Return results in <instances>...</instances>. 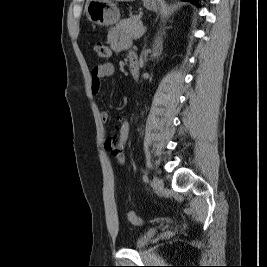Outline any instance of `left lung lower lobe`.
Instances as JSON below:
<instances>
[{"instance_id":"left-lung-lower-lobe-1","label":"left lung lower lobe","mask_w":267,"mask_h":267,"mask_svg":"<svg viewBox=\"0 0 267 267\" xmlns=\"http://www.w3.org/2000/svg\"><path fill=\"white\" fill-rule=\"evenodd\" d=\"M184 1H189V2H192V3H194L195 5L199 6V4H198V1H197V0H184Z\"/></svg>"}]
</instances>
